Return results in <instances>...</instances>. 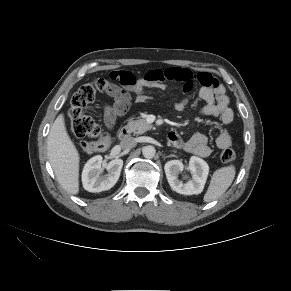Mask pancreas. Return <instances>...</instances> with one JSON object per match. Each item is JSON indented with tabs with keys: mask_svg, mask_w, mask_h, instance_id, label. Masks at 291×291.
<instances>
[{
	"mask_svg": "<svg viewBox=\"0 0 291 291\" xmlns=\"http://www.w3.org/2000/svg\"><path fill=\"white\" fill-rule=\"evenodd\" d=\"M126 128L134 134H143L146 131L152 128V125L149 124L145 119L130 120Z\"/></svg>",
	"mask_w": 291,
	"mask_h": 291,
	"instance_id": "cf45deb5",
	"label": "pancreas"
}]
</instances>
